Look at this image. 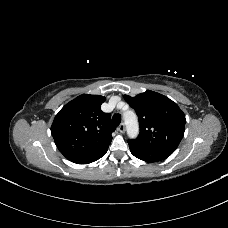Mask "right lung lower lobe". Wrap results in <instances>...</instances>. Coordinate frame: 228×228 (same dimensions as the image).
Segmentation results:
<instances>
[{
	"instance_id": "obj_1",
	"label": "right lung lower lobe",
	"mask_w": 228,
	"mask_h": 228,
	"mask_svg": "<svg viewBox=\"0 0 228 228\" xmlns=\"http://www.w3.org/2000/svg\"><path fill=\"white\" fill-rule=\"evenodd\" d=\"M108 148H105L95 154H92L90 156H87L85 158H82V159H78V160H75V161H72L76 164H88V163H91V162H94L98 159H100L102 156L105 155V153L107 152Z\"/></svg>"
}]
</instances>
